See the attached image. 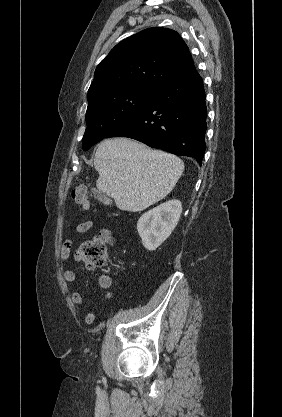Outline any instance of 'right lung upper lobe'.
<instances>
[{
	"mask_svg": "<svg viewBox=\"0 0 282 417\" xmlns=\"http://www.w3.org/2000/svg\"><path fill=\"white\" fill-rule=\"evenodd\" d=\"M195 71L189 49L177 32L149 28L118 43L100 62L87 98L129 88L158 91Z\"/></svg>",
	"mask_w": 282,
	"mask_h": 417,
	"instance_id": "cb5924a9",
	"label": "right lung upper lobe"
}]
</instances>
